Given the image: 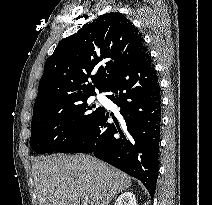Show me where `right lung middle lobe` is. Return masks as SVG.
<instances>
[{"label":"right lung middle lobe","instance_id":"right-lung-middle-lobe-1","mask_svg":"<svg viewBox=\"0 0 212 205\" xmlns=\"http://www.w3.org/2000/svg\"><path fill=\"white\" fill-rule=\"evenodd\" d=\"M89 97L33 111L31 148L39 154L58 152L82 135L104 109L88 104Z\"/></svg>","mask_w":212,"mask_h":205}]
</instances>
